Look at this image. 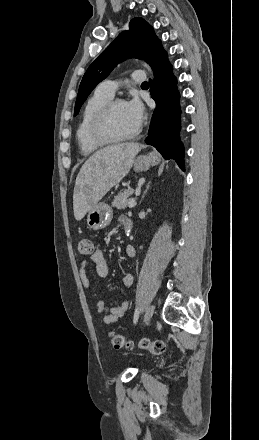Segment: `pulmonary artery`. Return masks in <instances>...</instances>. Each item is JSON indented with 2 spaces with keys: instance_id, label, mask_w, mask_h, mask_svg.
<instances>
[{
  "instance_id": "e3ab8cb5",
  "label": "pulmonary artery",
  "mask_w": 259,
  "mask_h": 440,
  "mask_svg": "<svg viewBox=\"0 0 259 440\" xmlns=\"http://www.w3.org/2000/svg\"><path fill=\"white\" fill-rule=\"evenodd\" d=\"M145 79H146V76L143 71L136 70V71L132 72V75H131V82L132 83H136V84L142 83L145 81ZM118 86H119V83L117 81L105 80L99 84L97 89L99 91L113 97Z\"/></svg>"
}]
</instances>
